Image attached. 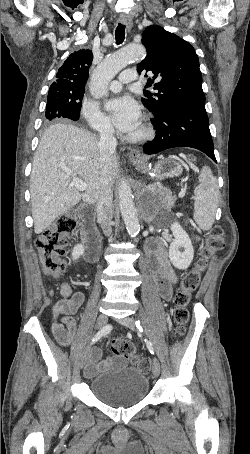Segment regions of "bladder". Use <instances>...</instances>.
I'll return each instance as SVG.
<instances>
[{"instance_id": "31cf9c89", "label": "bladder", "mask_w": 250, "mask_h": 454, "mask_svg": "<svg viewBox=\"0 0 250 454\" xmlns=\"http://www.w3.org/2000/svg\"><path fill=\"white\" fill-rule=\"evenodd\" d=\"M116 357L122 359V356ZM149 385V378L144 371L134 366L120 365L93 378L90 391L105 405L125 407L141 402L148 394Z\"/></svg>"}]
</instances>
